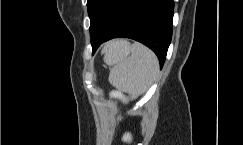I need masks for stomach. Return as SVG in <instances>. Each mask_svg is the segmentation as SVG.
I'll return each mask as SVG.
<instances>
[{"label": "stomach", "mask_w": 243, "mask_h": 145, "mask_svg": "<svg viewBox=\"0 0 243 145\" xmlns=\"http://www.w3.org/2000/svg\"><path fill=\"white\" fill-rule=\"evenodd\" d=\"M109 51H112L116 57H125L130 53V45L126 41H115L107 45L103 50L105 55Z\"/></svg>", "instance_id": "stomach-1"}]
</instances>
